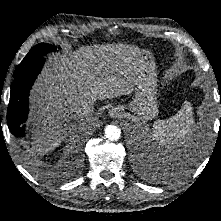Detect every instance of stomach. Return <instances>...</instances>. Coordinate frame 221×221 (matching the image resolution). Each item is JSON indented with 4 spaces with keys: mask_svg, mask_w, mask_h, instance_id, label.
Masks as SVG:
<instances>
[{
    "mask_svg": "<svg viewBox=\"0 0 221 221\" xmlns=\"http://www.w3.org/2000/svg\"><path fill=\"white\" fill-rule=\"evenodd\" d=\"M157 92L156 64L150 52L144 50L134 81V97L125 108L142 120L152 119L158 114Z\"/></svg>",
    "mask_w": 221,
    "mask_h": 221,
    "instance_id": "stomach-1",
    "label": "stomach"
}]
</instances>
